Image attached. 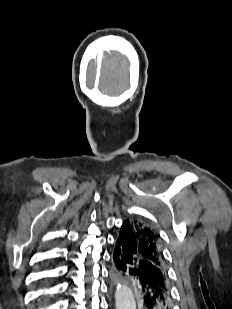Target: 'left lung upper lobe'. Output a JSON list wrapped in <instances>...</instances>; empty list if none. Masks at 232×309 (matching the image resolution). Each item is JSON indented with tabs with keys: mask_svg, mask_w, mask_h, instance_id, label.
<instances>
[{
	"mask_svg": "<svg viewBox=\"0 0 232 309\" xmlns=\"http://www.w3.org/2000/svg\"><path fill=\"white\" fill-rule=\"evenodd\" d=\"M124 223L131 228L140 254L165 269L160 237L156 230L147 222L136 218L128 219Z\"/></svg>",
	"mask_w": 232,
	"mask_h": 309,
	"instance_id": "1",
	"label": "left lung upper lobe"
}]
</instances>
